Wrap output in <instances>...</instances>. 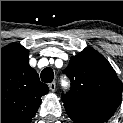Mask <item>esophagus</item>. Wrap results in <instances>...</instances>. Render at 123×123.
Listing matches in <instances>:
<instances>
[{"instance_id":"34e87169","label":"esophagus","mask_w":123,"mask_h":123,"mask_svg":"<svg viewBox=\"0 0 123 123\" xmlns=\"http://www.w3.org/2000/svg\"><path fill=\"white\" fill-rule=\"evenodd\" d=\"M49 89L52 91V92H54L55 91V89H56V83L53 81V82H51V83H49Z\"/></svg>"}]
</instances>
